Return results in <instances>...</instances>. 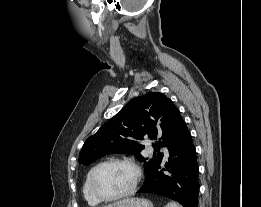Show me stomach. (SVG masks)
Instances as JSON below:
<instances>
[{"mask_svg":"<svg viewBox=\"0 0 261 207\" xmlns=\"http://www.w3.org/2000/svg\"><path fill=\"white\" fill-rule=\"evenodd\" d=\"M104 207H154L152 202L145 198H126Z\"/></svg>","mask_w":261,"mask_h":207,"instance_id":"obj_1","label":"stomach"}]
</instances>
